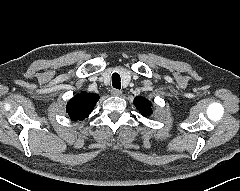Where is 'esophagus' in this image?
I'll use <instances>...</instances> for the list:
<instances>
[{"label": "esophagus", "mask_w": 240, "mask_h": 191, "mask_svg": "<svg viewBox=\"0 0 240 191\" xmlns=\"http://www.w3.org/2000/svg\"><path fill=\"white\" fill-rule=\"evenodd\" d=\"M122 91L118 90V89H112L111 90V95L113 96H121Z\"/></svg>", "instance_id": "esophagus-1"}]
</instances>
